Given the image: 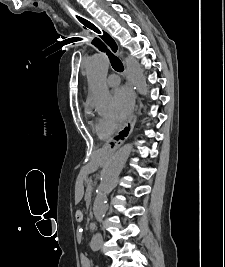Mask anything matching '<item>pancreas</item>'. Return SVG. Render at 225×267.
Masks as SVG:
<instances>
[{"label": "pancreas", "mask_w": 225, "mask_h": 267, "mask_svg": "<svg viewBox=\"0 0 225 267\" xmlns=\"http://www.w3.org/2000/svg\"><path fill=\"white\" fill-rule=\"evenodd\" d=\"M85 200L87 203H90V201H91V188H87L86 194H85Z\"/></svg>", "instance_id": "obj_1"}]
</instances>
